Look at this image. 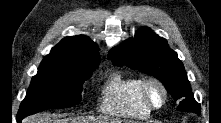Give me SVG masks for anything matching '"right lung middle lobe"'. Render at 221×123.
I'll return each instance as SVG.
<instances>
[{
	"mask_svg": "<svg viewBox=\"0 0 221 123\" xmlns=\"http://www.w3.org/2000/svg\"><path fill=\"white\" fill-rule=\"evenodd\" d=\"M98 64L80 67L70 63H41L18 113L28 116L49 108L78 104L82 85Z\"/></svg>",
	"mask_w": 221,
	"mask_h": 123,
	"instance_id": "dd1d6c3e",
	"label": "right lung middle lobe"
}]
</instances>
